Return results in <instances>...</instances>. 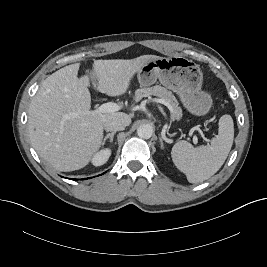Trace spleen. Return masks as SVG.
Here are the masks:
<instances>
[{
    "instance_id": "3e777b00",
    "label": "spleen",
    "mask_w": 267,
    "mask_h": 267,
    "mask_svg": "<svg viewBox=\"0 0 267 267\" xmlns=\"http://www.w3.org/2000/svg\"><path fill=\"white\" fill-rule=\"evenodd\" d=\"M218 126V135L210 144L195 148L182 140L172 148L173 163L190 183H200L213 176L222 167L231 150L234 139L232 117L227 114L221 116Z\"/></svg>"
}]
</instances>
